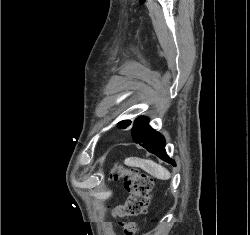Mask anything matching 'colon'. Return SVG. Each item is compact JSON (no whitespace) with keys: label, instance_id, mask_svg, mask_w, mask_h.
I'll use <instances>...</instances> for the list:
<instances>
[{"label":"colon","instance_id":"1","mask_svg":"<svg viewBox=\"0 0 250 235\" xmlns=\"http://www.w3.org/2000/svg\"><path fill=\"white\" fill-rule=\"evenodd\" d=\"M110 179L124 181L128 193L126 202L116 207L115 214L119 217H133L145 212L150 201V192L153 187L152 179L137 168L115 165L110 173ZM124 235H136L137 224L130 220L120 222Z\"/></svg>","mask_w":250,"mask_h":235}]
</instances>
